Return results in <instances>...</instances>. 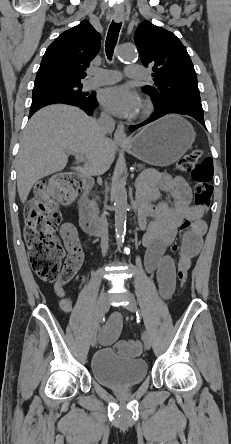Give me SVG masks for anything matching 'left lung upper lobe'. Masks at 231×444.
<instances>
[{"label":"left lung upper lobe","instance_id":"obj_1","mask_svg":"<svg viewBox=\"0 0 231 444\" xmlns=\"http://www.w3.org/2000/svg\"><path fill=\"white\" fill-rule=\"evenodd\" d=\"M142 64L152 67L153 85L143 90L157 110H201V98L193 63L182 42L170 31L143 21L134 35Z\"/></svg>","mask_w":231,"mask_h":444}]
</instances>
